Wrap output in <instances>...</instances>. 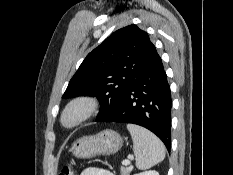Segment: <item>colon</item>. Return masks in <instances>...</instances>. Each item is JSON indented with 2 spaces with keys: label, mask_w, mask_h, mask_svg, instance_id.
Returning a JSON list of instances; mask_svg holds the SVG:
<instances>
[{
  "label": "colon",
  "mask_w": 233,
  "mask_h": 175,
  "mask_svg": "<svg viewBox=\"0 0 233 175\" xmlns=\"http://www.w3.org/2000/svg\"><path fill=\"white\" fill-rule=\"evenodd\" d=\"M58 175H75V170L71 165H65Z\"/></svg>",
  "instance_id": "5ec220e1"
}]
</instances>
